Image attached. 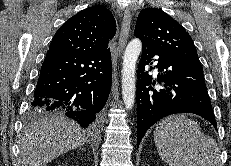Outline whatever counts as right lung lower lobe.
Listing matches in <instances>:
<instances>
[{
  "instance_id": "1",
  "label": "right lung lower lobe",
  "mask_w": 231,
  "mask_h": 166,
  "mask_svg": "<svg viewBox=\"0 0 231 166\" xmlns=\"http://www.w3.org/2000/svg\"><path fill=\"white\" fill-rule=\"evenodd\" d=\"M112 83L109 49L91 54L48 50L31 102L33 112H63L96 130Z\"/></svg>"
}]
</instances>
